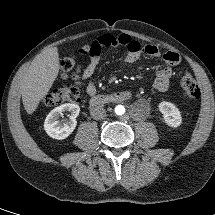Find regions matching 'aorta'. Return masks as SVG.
<instances>
[{
	"instance_id": "obj_1",
	"label": "aorta",
	"mask_w": 215,
	"mask_h": 215,
	"mask_svg": "<svg viewBox=\"0 0 215 215\" xmlns=\"http://www.w3.org/2000/svg\"><path fill=\"white\" fill-rule=\"evenodd\" d=\"M115 113H116L117 115H123V114L125 113V107L122 106V105L116 106V108H115Z\"/></svg>"
}]
</instances>
